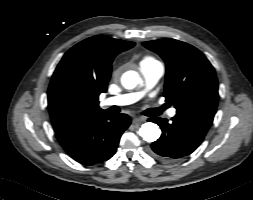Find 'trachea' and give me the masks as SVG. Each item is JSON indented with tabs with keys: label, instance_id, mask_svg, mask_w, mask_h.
<instances>
[{
	"label": "trachea",
	"instance_id": "trachea-1",
	"mask_svg": "<svg viewBox=\"0 0 253 200\" xmlns=\"http://www.w3.org/2000/svg\"><path fill=\"white\" fill-rule=\"evenodd\" d=\"M164 109H165V106L160 107V108H155V109H152V113H153L154 115H158V114H160Z\"/></svg>",
	"mask_w": 253,
	"mask_h": 200
}]
</instances>
